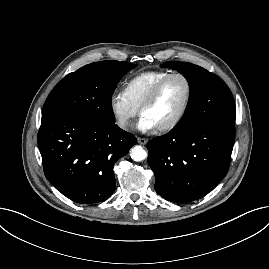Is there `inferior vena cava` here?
<instances>
[{
	"label": "inferior vena cava",
	"instance_id": "602c4592",
	"mask_svg": "<svg viewBox=\"0 0 269 269\" xmlns=\"http://www.w3.org/2000/svg\"><path fill=\"white\" fill-rule=\"evenodd\" d=\"M124 124H125V122L124 121H122V122H120V126H124Z\"/></svg>",
	"mask_w": 269,
	"mask_h": 269
}]
</instances>
